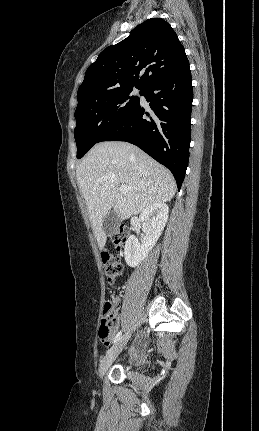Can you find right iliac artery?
<instances>
[{
	"mask_svg": "<svg viewBox=\"0 0 259 431\" xmlns=\"http://www.w3.org/2000/svg\"><path fill=\"white\" fill-rule=\"evenodd\" d=\"M121 335H122V331H119L117 334H116V336H115V338H114V340H113V343L115 344L120 338H121Z\"/></svg>",
	"mask_w": 259,
	"mask_h": 431,
	"instance_id": "right-iliac-artery-1",
	"label": "right iliac artery"
}]
</instances>
